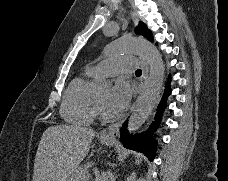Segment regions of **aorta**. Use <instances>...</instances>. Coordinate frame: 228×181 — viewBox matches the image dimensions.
<instances>
[{"instance_id":"obj_1","label":"aorta","mask_w":228,"mask_h":181,"mask_svg":"<svg viewBox=\"0 0 228 181\" xmlns=\"http://www.w3.org/2000/svg\"><path fill=\"white\" fill-rule=\"evenodd\" d=\"M124 53L141 55L146 59L150 68L144 92L128 121V131L133 133L144 124L159 100L164 81L165 65L158 49L151 42L142 38L123 37L107 45L104 49L105 56ZM95 87L98 91H105L111 87V84L106 80H98Z\"/></svg>"}]
</instances>
